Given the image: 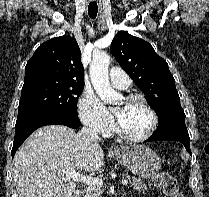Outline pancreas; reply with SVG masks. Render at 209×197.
I'll return each instance as SVG.
<instances>
[{
  "mask_svg": "<svg viewBox=\"0 0 209 197\" xmlns=\"http://www.w3.org/2000/svg\"><path fill=\"white\" fill-rule=\"evenodd\" d=\"M131 187L133 190H136L140 193H144L147 190V187L144 185L143 181L136 177H132ZM102 192L103 189L100 185H88L85 190V197H98L100 194H102Z\"/></svg>",
  "mask_w": 209,
  "mask_h": 197,
  "instance_id": "cf45deb5",
  "label": "pancreas"
}]
</instances>
